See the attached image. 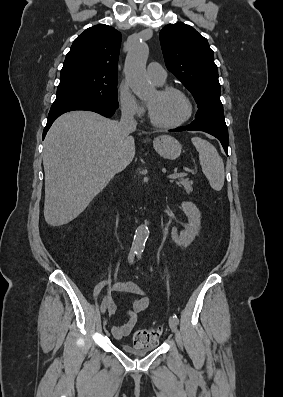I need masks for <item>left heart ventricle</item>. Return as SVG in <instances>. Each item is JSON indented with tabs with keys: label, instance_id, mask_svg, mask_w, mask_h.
I'll use <instances>...</instances> for the list:
<instances>
[{
	"label": "left heart ventricle",
	"instance_id": "1",
	"mask_svg": "<svg viewBox=\"0 0 283 397\" xmlns=\"http://www.w3.org/2000/svg\"><path fill=\"white\" fill-rule=\"evenodd\" d=\"M150 107L156 120L162 123H172L184 118L188 112V104L179 93L160 95L155 91L148 99Z\"/></svg>",
	"mask_w": 283,
	"mask_h": 397
}]
</instances>
